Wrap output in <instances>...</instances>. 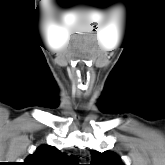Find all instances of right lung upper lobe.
Segmentation results:
<instances>
[{
  "instance_id": "cb5924a9",
  "label": "right lung upper lobe",
  "mask_w": 165,
  "mask_h": 165,
  "mask_svg": "<svg viewBox=\"0 0 165 165\" xmlns=\"http://www.w3.org/2000/svg\"><path fill=\"white\" fill-rule=\"evenodd\" d=\"M23 165H79L74 156L61 153L52 146L43 145L30 155Z\"/></svg>"
}]
</instances>
